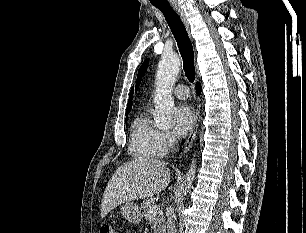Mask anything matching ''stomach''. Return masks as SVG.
<instances>
[{
	"mask_svg": "<svg viewBox=\"0 0 306 233\" xmlns=\"http://www.w3.org/2000/svg\"><path fill=\"white\" fill-rule=\"evenodd\" d=\"M120 209L123 217L130 223L138 224L141 221L142 214L137 204L127 202L124 203Z\"/></svg>",
	"mask_w": 306,
	"mask_h": 233,
	"instance_id": "1",
	"label": "stomach"
}]
</instances>
